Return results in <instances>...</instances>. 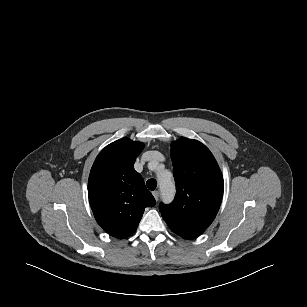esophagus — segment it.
<instances>
[{"label": "esophagus", "mask_w": 307, "mask_h": 307, "mask_svg": "<svg viewBox=\"0 0 307 307\" xmlns=\"http://www.w3.org/2000/svg\"><path fill=\"white\" fill-rule=\"evenodd\" d=\"M152 194H153L154 198L157 201L159 199V192L158 191H153Z\"/></svg>", "instance_id": "34e87169"}]
</instances>
